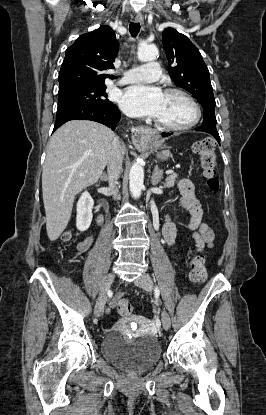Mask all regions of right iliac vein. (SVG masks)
<instances>
[{
  "label": "right iliac vein",
  "mask_w": 266,
  "mask_h": 415,
  "mask_svg": "<svg viewBox=\"0 0 266 415\" xmlns=\"http://www.w3.org/2000/svg\"><path fill=\"white\" fill-rule=\"evenodd\" d=\"M114 279H115V275L113 273L108 274L105 277L100 287L99 296H98L97 302L95 304V309H94V314L96 317H100L101 314L103 313L104 305L107 299V293H108V290L111 284L114 282Z\"/></svg>",
  "instance_id": "63e3f726"
}]
</instances>
